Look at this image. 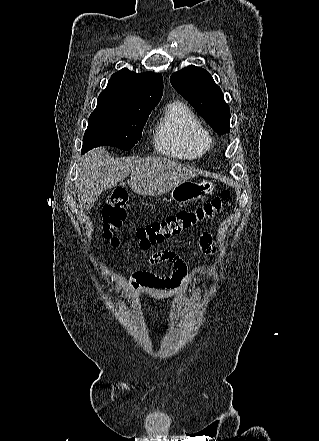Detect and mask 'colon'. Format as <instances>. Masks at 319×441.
<instances>
[{"instance_id":"colon-1","label":"colon","mask_w":319,"mask_h":441,"mask_svg":"<svg viewBox=\"0 0 319 441\" xmlns=\"http://www.w3.org/2000/svg\"><path fill=\"white\" fill-rule=\"evenodd\" d=\"M128 196L124 189L115 190L102 208L104 238L114 247L119 246L117 230L127 217ZM230 201V191L224 190L220 196L190 209H183L166 219L141 227L135 232L136 246L142 250L181 234L192 227L204 223L219 214Z\"/></svg>"}]
</instances>
